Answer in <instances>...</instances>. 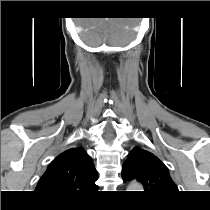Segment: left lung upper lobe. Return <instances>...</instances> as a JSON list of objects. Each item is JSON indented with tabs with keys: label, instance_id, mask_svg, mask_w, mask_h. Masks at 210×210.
Segmentation results:
<instances>
[{
	"label": "left lung upper lobe",
	"instance_id": "obj_1",
	"mask_svg": "<svg viewBox=\"0 0 210 210\" xmlns=\"http://www.w3.org/2000/svg\"><path fill=\"white\" fill-rule=\"evenodd\" d=\"M121 175L125 180L141 182L144 191L151 195L166 196L178 191L164 163L140 147L133 148L129 153Z\"/></svg>",
	"mask_w": 210,
	"mask_h": 210
}]
</instances>
